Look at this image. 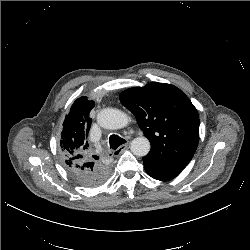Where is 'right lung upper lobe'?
<instances>
[{"instance_id": "cb5924a9", "label": "right lung upper lobe", "mask_w": 250, "mask_h": 250, "mask_svg": "<svg viewBox=\"0 0 250 250\" xmlns=\"http://www.w3.org/2000/svg\"><path fill=\"white\" fill-rule=\"evenodd\" d=\"M95 103L87 97L77 99L63 122L60 149L64 165L77 171L110 173V167L99 157L89 155L88 133L91 126L89 113Z\"/></svg>"}]
</instances>
